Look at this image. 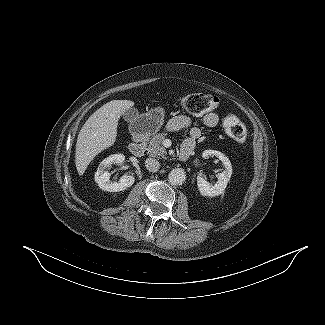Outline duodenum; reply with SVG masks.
<instances>
[{
  "label": "duodenum",
  "instance_id": "1",
  "mask_svg": "<svg viewBox=\"0 0 325 325\" xmlns=\"http://www.w3.org/2000/svg\"><path fill=\"white\" fill-rule=\"evenodd\" d=\"M145 137L142 134H136L129 145V151L135 156H141L145 152ZM194 148L191 145L184 144L178 154L179 160L186 161L189 159Z\"/></svg>",
  "mask_w": 325,
  "mask_h": 325
}]
</instances>
